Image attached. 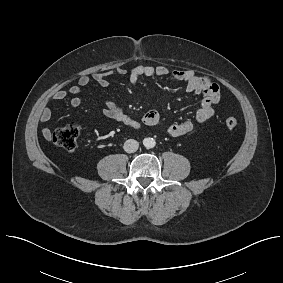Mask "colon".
<instances>
[{
  "label": "colon",
  "instance_id": "obj_1",
  "mask_svg": "<svg viewBox=\"0 0 283 283\" xmlns=\"http://www.w3.org/2000/svg\"><path fill=\"white\" fill-rule=\"evenodd\" d=\"M238 121L235 117H227L225 119L226 127L235 128ZM81 132V126L78 123H70L63 127L57 128L50 133L51 141L58 147L65 150H73L76 148L77 141Z\"/></svg>",
  "mask_w": 283,
  "mask_h": 283
}]
</instances>
